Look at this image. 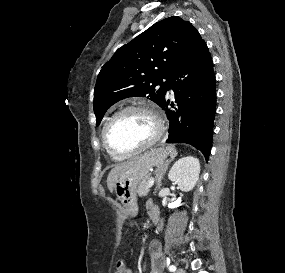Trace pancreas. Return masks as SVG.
<instances>
[{
  "label": "pancreas",
  "instance_id": "1",
  "mask_svg": "<svg viewBox=\"0 0 285 273\" xmlns=\"http://www.w3.org/2000/svg\"><path fill=\"white\" fill-rule=\"evenodd\" d=\"M149 181H150V177L148 176L146 179H144L139 185H138V188H137V192H138V195L140 197H143V196H147L148 193H149Z\"/></svg>",
  "mask_w": 285,
  "mask_h": 273
}]
</instances>
